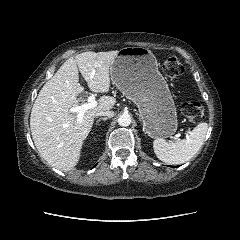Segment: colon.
I'll list each match as a JSON object with an SVG mask.
<instances>
[{
    "label": "colon",
    "instance_id": "5ec220e1",
    "mask_svg": "<svg viewBox=\"0 0 240 240\" xmlns=\"http://www.w3.org/2000/svg\"><path fill=\"white\" fill-rule=\"evenodd\" d=\"M162 69L164 74L170 78L178 77L184 71L181 62L174 56L165 59ZM181 112L190 122H198L204 116V107L199 102L187 101L181 105Z\"/></svg>",
    "mask_w": 240,
    "mask_h": 240
}]
</instances>
